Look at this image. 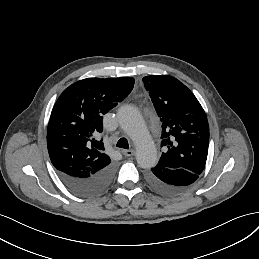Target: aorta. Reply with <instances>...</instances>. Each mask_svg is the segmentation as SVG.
Masks as SVG:
<instances>
[{"mask_svg":"<svg viewBox=\"0 0 259 259\" xmlns=\"http://www.w3.org/2000/svg\"><path fill=\"white\" fill-rule=\"evenodd\" d=\"M122 129L136 145V160L140 167L151 168L157 164V150L140 112L131 105L122 106L118 111Z\"/></svg>","mask_w":259,"mask_h":259,"instance_id":"1","label":"aorta"}]
</instances>
